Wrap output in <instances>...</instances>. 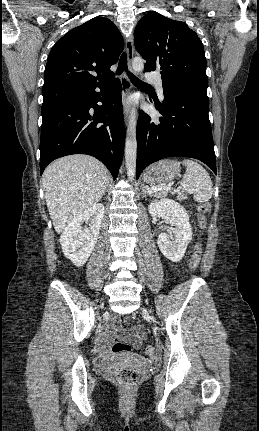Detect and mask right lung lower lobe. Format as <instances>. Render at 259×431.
Here are the masks:
<instances>
[{"mask_svg": "<svg viewBox=\"0 0 259 431\" xmlns=\"http://www.w3.org/2000/svg\"><path fill=\"white\" fill-rule=\"evenodd\" d=\"M97 87L100 92L95 91ZM98 101L103 105H97ZM42 117L41 174L59 157L89 154L102 161L114 179L117 177L126 135L119 79L45 95Z\"/></svg>", "mask_w": 259, "mask_h": 431, "instance_id": "1", "label": "right lung lower lobe"}]
</instances>
